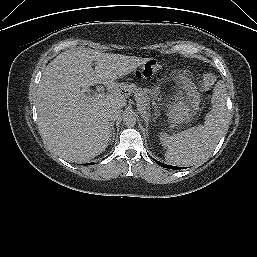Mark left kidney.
Here are the masks:
<instances>
[{
    "label": "left kidney",
    "instance_id": "1",
    "mask_svg": "<svg viewBox=\"0 0 257 257\" xmlns=\"http://www.w3.org/2000/svg\"><path fill=\"white\" fill-rule=\"evenodd\" d=\"M168 116L171 118V122L179 123L187 120L188 113L182 106L175 105L169 110Z\"/></svg>",
    "mask_w": 257,
    "mask_h": 257
}]
</instances>
